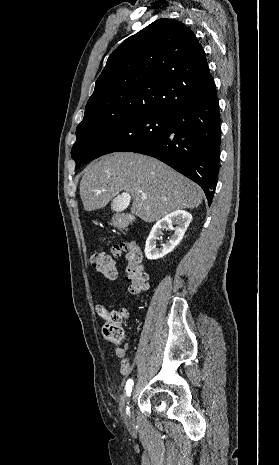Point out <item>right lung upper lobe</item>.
<instances>
[{
  "label": "right lung upper lobe",
  "instance_id": "right-lung-upper-lobe-1",
  "mask_svg": "<svg viewBox=\"0 0 279 465\" xmlns=\"http://www.w3.org/2000/svg\"><path fill=\"white\" fill-rule=\"evenodd\" d=\"M214 82L194 33L159 19L108 58L77 130L138 113H169L205 96Z\"/></svg>",
  "mask_w": 279,
  "mask_h": 465
}]
</instances>
